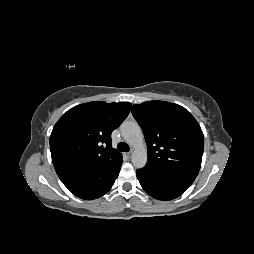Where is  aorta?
I'll list each match as a JSON object with an SVG mask.
<instances>
[{"label": "aorta", "mask_w": 254, "mask_h": 254, "mask_svg": "<svg viewBox=\"0 0 254 254\" xmlns=\"http://www.w3.org/2000/svg\"><path fill=\"white\" fill-rule=\"evenodd\" d=\"M124 140L133 147L132 164L136 168H143L147 163V151L144 145L143 133L137 122L125 121L121 125Z\"/></svg>", "instance_id": "aorta-1"}]
</instances>
